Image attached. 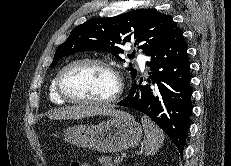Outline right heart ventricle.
<instances>
[{
  "instance_id": "obj_1",
  "label": "right heart ventricle",
  "mask_w": 231,
  "mask_h": 166,
  "mask_svg": "<svg viewBox=\"0 0 231 166\" xmlns=\"http://www.w3.org/2000/svg\"><path fill=\"white\" fill-rule=\"evenodd\" d=\"M49 97L50 100L57 104H62L64 100L58 95L55 87V78L52 80L49 88Z\"/></svg>"
}]
</instances>
